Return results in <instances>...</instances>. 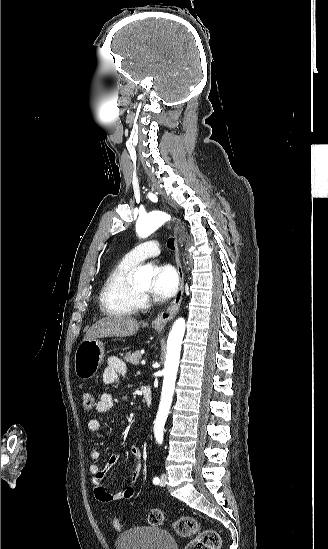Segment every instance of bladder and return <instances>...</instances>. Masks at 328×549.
Instances as JSON below:
<instances>
[{
    "label": "bladder",
    "mask_w": 328,
    "mask_h": 549,
    "mask_svg": "<svg viewBox=\"0 0 328 549\" xmlns=\"http://www.w3.org/2000/svg\"><path fill=\"white\" fill-rule=\"evenodd\" d=\"M132 536H118L117 549H175L173 535L160 528L136 527Z\"/></svg>",
    "instance_id": "bladder-1"
}]
</instances>
